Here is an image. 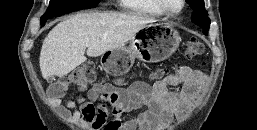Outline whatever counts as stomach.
<instances>
[{
	"mask_svg": "<svg viewBox=\"0 0 257 130\" xmlns=\"http://www.w3.org/2000/svg\"><path fill=\"white\" fill-rule=\"evenodd\" d=\"M181 38L169 23L147 25L136 34L128 47L105 52L101 57L104 70L112 75L126 73L134 59L155 63L169 58L179 47Z\"/></svg>",
	"mask_w": 257,
	"mask_h": 130,
	"instance_id": "0dacf381",
	"label": "stomach"
}]
</instances>
